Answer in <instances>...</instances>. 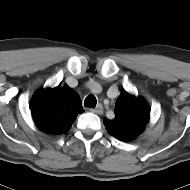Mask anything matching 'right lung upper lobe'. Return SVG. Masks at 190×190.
I'll return each instance as SVG.
<instances>
[{
  "label": "right lung upper lobe",
  "instance_id": "obj_1",
  "mask_svg": "<svg viewBox=\"0 0 190 190\" xmlns=\"http://www.w3.org/2000/svg\"><path fill=\"white\" fill-rule=\"evenodd\" d=\"M30 108L35 124L54 135L67 132L83 112L79 95L66 84L39 90L33 95Z\"/></svg>",
  "mask_w": 190,
  "mask_h": 190
}]
</instances>
